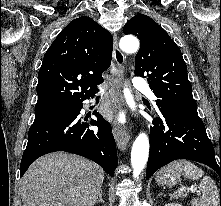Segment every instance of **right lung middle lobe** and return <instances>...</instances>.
Returning a JSON list of instances; mask_svg holds the SVG:
<instances>
[{
	"label": "right lung middle lobe",
	"instance_id": "obj_1",
	"mask_svg": "<svg viewBox=\"0 0 221 206\" xmlns=\"http://www.w3.org/2000/svg\"><path fill=\"white\" fill-rule=\"evenodd\" d=\"M74 105L35 107V119L71 111Z\"/></svg>",
	"mask_w": 221,
	"mask_h": 206
}]
</instances>
